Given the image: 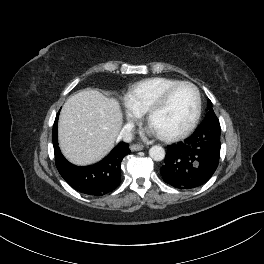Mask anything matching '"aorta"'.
<instances>
[{"instance_id": "762f6f07", "label": "aorta", "mask_w": 264, "mask_h": 264, "mask_svg": "<svg viewBox=\"0 0 264 264\" xmlns=\"http://www.w3.org/2000/svg\"><path fill=\"white\" fill-rule=\"evenodd\" d=\"M149 156L154 161H162L165 158V150L162 146L155 145L149 149Z\"/></svg>"}]
</instances>
